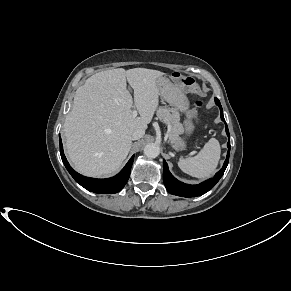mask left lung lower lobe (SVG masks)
<instances>
[{
	"instance_id": "1",
	"label": "left lung lower lobe",
	"mask_w": 291,
	"mask_h": 291,
	"mask_svg": "<svg viewBox=\"0 0 291 291\" xmlns=\"http://www.w3.org/2000/svg\"><path fill=\"white\" fill-rule=\"evenodd\" d=\"M215 103L220 108V113H221L220 116H221L222 121L225 123L226 133L229 137V141L227 143L228 153H227V158L225 160L223 168L219 172L216 173L215 177L199 185H189V184H185L183 182L178 181L170 173L166 161L163 160V181H164L167 191L173 195H177L181 197H196V196L203 195L216 185V183L220 180V178L222 177V175L224 174L226 170V167L229 161V154H230V135H229L227 124L223 116L222 106L220 104V101L217 98H215Z\"/></svg>"
}]
</instances>
